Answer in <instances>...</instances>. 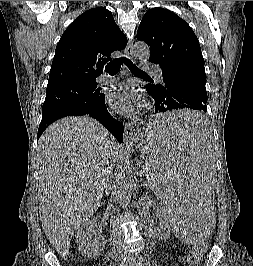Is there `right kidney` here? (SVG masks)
Here are the masks:
<instances>
[{"mask_svg": "<svg viewBox=\"0 0 253 266\" xmlns=\"http://www.w3.org/2000/svg\"><path fill=\"white\" fill-rule=\"evenodd\" d=\"M76 241L81 255L88 258L100 255L106 244L94 220H87L77 229Z\"/></svg>", "mask_w": 253, "mask_h": 266, "instance_id": "right-kidney-1", "label": "right kidney"}]
</instances>
